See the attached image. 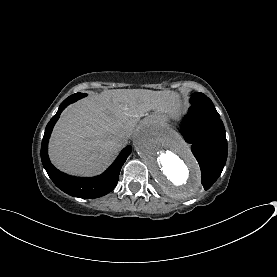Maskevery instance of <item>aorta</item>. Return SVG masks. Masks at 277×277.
I'll list each match as a JSON object with an SVG mask.
<instances>
[{
  "label": "aorta",
  "mask_w": 277,
  "mask_h": 277,
  "mask_svg": "<svg viewBox=\"0 0 277 277\" xmlns=\"http://www.w3.org/2000/svg\"><path fill=\"white\" fill-rule=\"evenodd\" d=\"M133 145L158 185L171 197L191 198L201 188L196 159L170 128L146 123L135 132Z\"/></svg>",
  "instance_id": "762f6f07"
}]
</instances>
